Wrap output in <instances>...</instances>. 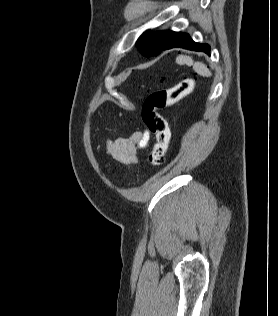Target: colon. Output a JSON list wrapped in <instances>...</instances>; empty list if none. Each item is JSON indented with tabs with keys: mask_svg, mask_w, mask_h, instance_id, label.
Instances as JSON below:
<instances>
[{
	"mask_svg": "<svg viewBox=\"0 0 278 316\" xmlns=\"http://www.w3.org/2000/svg\"><path fill=\"white\" fill-rule=\"evenodd\" d=\"M195 81L191 77L183 79L178 84L150 93L142 105V120L147 129L154 134L155 143L149 154V162L153 166L162 164L167 154L170 130L160 110L166 109L190 94Z\"/></svg>",
	"mask_w": 278,
	"mask_h": 316,
	"instance_id": "5ec220e1",
	"label": "colon"
}]
</instances>
